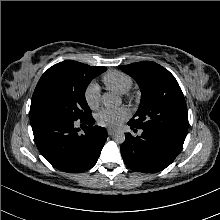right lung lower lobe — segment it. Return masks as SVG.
Returning a JSON list of instances; mask_svg holds the SVG:
<instances>
[{
	"label": "right lung lower lobe",
	"mask_w": 220,
	"mask_h": 220,
	"mask_svg": "<svg viewBox=\"0 0 220 220\" xmlns=\"http://www.w3.org/2000/svg\"><path fill=\"white\" fill-rule=\"evenodd\" d=\"M79 121L86 127L84 134H79L80 129L75 128L76 120L47 111H30L34 140L40 153L64 172H83L92 168L108 136L105 128L93 126L92 116Z\"/></svg>",
	"instance_id": "obj_1"
}]
</instances>
